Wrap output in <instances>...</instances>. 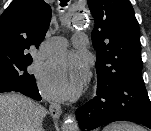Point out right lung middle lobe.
<instances>
[{"instance_id":"1","label":"right lung middle lobe","mask_w":151,"mask_h":131,"mask_svg":"<svg viewBox=\"0 0 151 131\" xmlns=\"http://www.w3.org/2000/svg\"><path fill=\"white\" fill-rule=\"evenodd\" d=\"M32 63V57L25 55L0 54V79L5 77L8 82H18L34 75L27 72V66Z\"/></svg>"}]
</instances>
